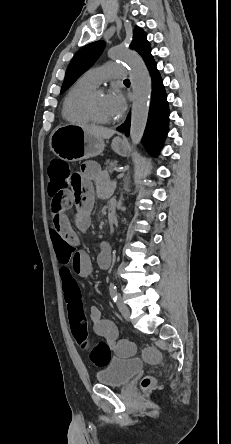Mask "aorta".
Returning a JSON list of instances; mask_svg holds the SVG:
<instances>
[{"label": "aorta", "instance_id": "1", "mask_svg": "<svg viewBox=\"0 0 231 444\" xmlns=\"http://www.w3.org/2000/svg\"><path fill=\"white\" fill-rule=\"evenodd\" d=\"M114 59L125 62L130 70V81L133 89L130 137L132 143H140L149 113L151 79L143 59L127 49L116 47L110 50Z\"/></svg>", "mask_w": 231, "mask_h": 444}]
</instances>
